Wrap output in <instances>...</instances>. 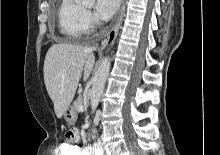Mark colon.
I'll list each match as a JSON object with an SVG mask.
<instances>
[{
  "mask_svg": "<svg viewBox=\"0 0 220 155\" xmlns=\"http://www.w3.org/2000/svg\"><path fill=\"white\" fill-rule=\"evenodd\" d=\"M59 155H82L79 146H60Z\"/></svg>",
  "mask_w": 220,
  "mask_h": 155,
  "instance_id": "1",
  "label": "colon"
}]
</instances>
